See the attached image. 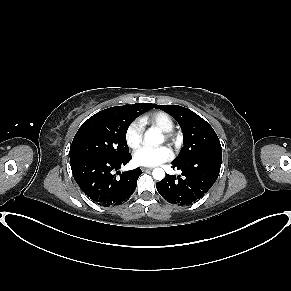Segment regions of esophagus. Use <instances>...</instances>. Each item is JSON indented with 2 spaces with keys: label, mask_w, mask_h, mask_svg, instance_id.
Instances as JSON below:
<instances>
[{
  "label": "esophagus",
  "mask_w": 291,
  "mask_h": 291,
  "mask_svg": "<svg viewBox=\"0 0 291 291\" xmlns=\"http://www.w3.org/2000/svg\"><path fill=\"white\" fill-rule=\"evenodd\" d=\"M141 169H142L143 171H151V170H153L152 167H142Z\"/></svg>",
  "instance_id": "obj_1"
}]
</instances>
